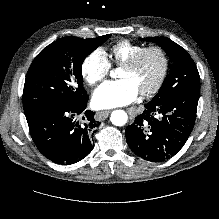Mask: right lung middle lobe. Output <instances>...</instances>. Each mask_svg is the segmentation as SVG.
I'll list each match as a JSON object with an SVG mask.
<instances>
[{"instance_id": "1", "label": "right lung middle lobe", "mask_w": 219, "mask_h": 219, "mask_svg": "<svg viewBox=\"0 0 219 219\" xmlns=\"http://www.w3.org/2000/svg\"><path fill=\"white\" fill-rule=\"evenodd\" d=\"M111 34L93 39L63 37L44 48L32 62L23 91L24 111L43 103H77L87 97L82 63Z\"/></svg>"}]
</instances>
